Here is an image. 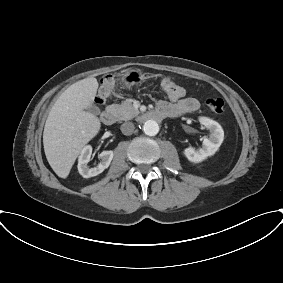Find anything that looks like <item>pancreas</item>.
I'll list each match as a JSON object with an SVG mask.
<instances>
[{
	"label": "pancreas",
	"instance_id": "1",
	"mask_svg": "<svg viewBox=\"0 0 283 283\" xmlns=\"http://www.w3.org/2000/svg\"><path fill=\"white\" fill-rule=\"evenodd\" d=\"M110 108L119 120H130L139 114V111L133 107L131 100H126L121 104H112Z\"/></svg>",
	"mask_w": 283,
	"mask_h": 283
}]
</instances>
